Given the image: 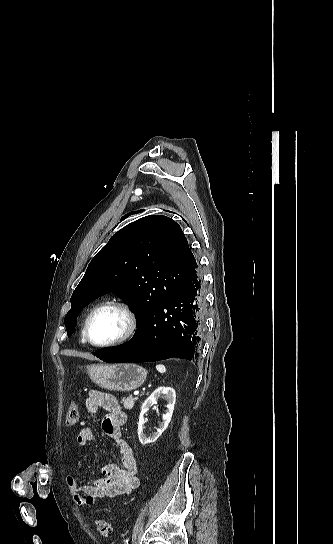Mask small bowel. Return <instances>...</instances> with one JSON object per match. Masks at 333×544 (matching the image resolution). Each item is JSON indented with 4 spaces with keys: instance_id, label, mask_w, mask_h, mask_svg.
Here are the masks:
<instances>
[{
    "instance_id": "small-bowel-1",
    "label": "small bowel",
    "mask_w": 333,
    "mask_h": 544,
    "mask_svg": "<svg viewBox=\"0 0 333 544\" xmlns=\"http://www.w3.org/2000/svg\"><path fill=\"white\" fill-rule=\"evenodd\" d=\"M85 410L89 414H95L100 410L106 412L102 421V430L119 447L121 466L113 463L103 465L101 472L104 477L95 479L84 486L79 485L75 476L67 477L70 494L74 502L81 507L94 505L98 499L128 494L139 486L134 451L125 440L121 430L127 416L117 400L108 393L92 390L85 400ZM93 439V430L83 425L77 435L78 444L86 446Z\"/></svg>"
}]
</instances>
